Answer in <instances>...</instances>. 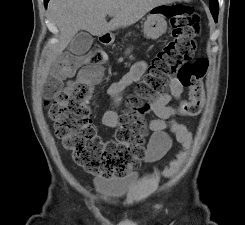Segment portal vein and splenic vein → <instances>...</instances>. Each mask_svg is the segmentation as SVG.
Listing matches in <instances>:
<instances>
[{"instance_id":"18ae733b","label":"portal vein and splenic vein","mask_w":245,"mask_h":225,"mask_svg":"<svg viewBox=\"0 0 245 225\" xmlns=\"http://www.w3.org/2000/svg\"><path fill=\"white\" fill-rule=\"evenodd\" d=\"M108 15H109L110 17H113V16H114V14H113V13H109Z\"/></svg>"}]
</instances>
